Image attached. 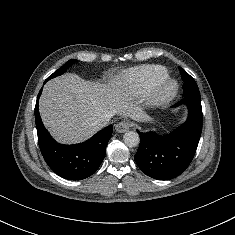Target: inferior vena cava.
<instances>
[{"instance_id": "1", "label": "inferior vena cava", "mask_w": 235, "mask_h": 235, "mask_svg": "<svg viewBox=\"0 0 235 235\" xmlns=\"http://www.w3.org/2000/svg\"><path fill=\"white\" fill-rule=\"evenodd\" d=\"M111 115L110 114H106L105 116H103L102 118L98 119L96 121L97 125L103 127L105 125H107V123L109 122V120L111 119Z\"/></svg>"}]
</instances>
